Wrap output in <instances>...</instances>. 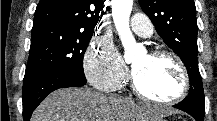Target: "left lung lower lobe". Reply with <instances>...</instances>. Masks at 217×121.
Segmentation results:
<instances>
[{
  "instance_id": "1",
  "label": "left lung lower lobe",
  "mask_w": 217,
  "mask_h": 121,
  "mask_svg": "<svg viewBox=\"0 0 217 121\" xmlns=\"http://www.w3.org/2000/svg\"><path fill=\"white\" fill-rule=\"evenodd\" d=\"M173 107L187 112L192 117H194L196 121H203L204 119L205 111L199 107L196 101V97L193 95H188L182 102L174 105Z\"/></svg>"
}]
</instances>
